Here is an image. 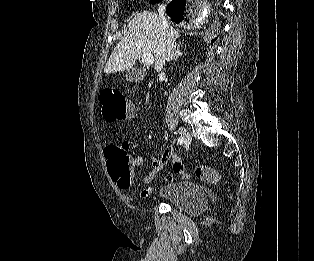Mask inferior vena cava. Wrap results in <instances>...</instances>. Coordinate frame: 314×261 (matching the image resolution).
Listing matches in <instances>:
<instances>
[{
	"label": "inferior vena cava",
	"instance_id": "obj_1",
	"mask_svg": "<svg viewBox=\"0 0 314 261\" xmlns=\"http://www.w3.org/2000/svg\"><path fill=\"white\" fill-rule=\"evenodd\" d=\"M159 16L162 18L163 26L166 30V39H165V46H166V53H165V61H170L175 55L176 49V39L174 38L172 30L169 28L168 23L164 17L165 13V6L161 5L158 8Z\"/></svg>",
	"mask_w": 314,
	"mask_h": 261
}]
</instances>
